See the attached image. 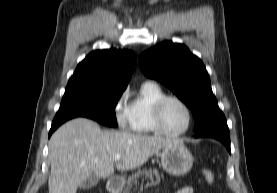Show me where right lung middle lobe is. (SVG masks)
I'll list each match as a JSON object with an SVG mask.
<instances>
[{
    "label": "right lung middle lobe",
    "mask_w": 277,
    "mask_h": 193,
    "mask_svg": "<svg viewBox=\"0 0 277 193\" xmlns=\"http://www.w3.org/2000/svg\"><path fill=\"white\" fill-rule=\"evenodd\" d=\"M123 91L89 88L66 89L55 118L86 117L116 127V104Z\"/></svg>",
    "instance_id": "dd1d6c3e"
}]
</instances>
